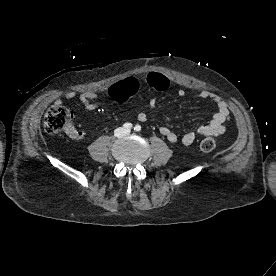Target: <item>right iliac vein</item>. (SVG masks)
I'll return each mask as SVG.
<instances>
[{
  "mask_svg": "<svg viewBox=\"0 0 276 276\" xmlns=\"http://www.w3.org/2000/svg\"><path fill=\"white\" fill-rule=\"evenodd\" d=\"M123 133H124V132H123L122 129H117V130L115 131V135L118 136V137H119V136H122Z\"/></svg>",
  "mask_w": 276,
  "mask_h": 276,
  "instance_id": "1",
  "label": "right iliac vein"
}]
</instances>
